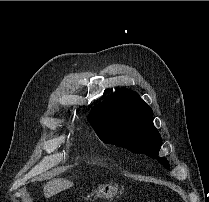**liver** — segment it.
Listing matches in <instances>:
<instances>
[{
  "mask_svg": "<svg viewBox=\"0 0 209 202\" xmlns=\"http://www.w3.org/2000/svg\"><path fill=\"white\" fill-rule=\"evenodd\" d=\"M73 183L67 179L59 178L47 182L43 187L44 196L50 198L61 191L72 187Z\"/></svg>",
  "mask_w": 209,
  "mask_h": 202,
  "instance_id": "obj_1",
  "label": "liver"
}]
</instances>
